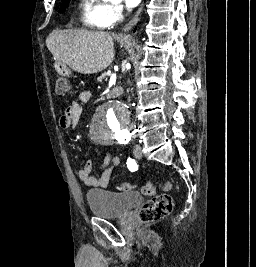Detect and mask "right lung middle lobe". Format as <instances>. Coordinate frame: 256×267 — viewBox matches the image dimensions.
Wrapping results in <instances>:
<instances>
[{"instance_id": "obj_1", "label": "right lung middle lobe", "mask_w": 256, "mask_h": 267, "mask_svg": "<svg viewBox=\"0 0 256 267\" xmlns=\"http://www.w3.org/2000/svg\"><path fill=\"white\" fill-rule=\"evenodd\" d=\"M69 1H70V0H66L65 2H63L62 6H61V8H60V10H59L60 13H62V12L65 11L66 6H68V4H69Z\"/></svg>"}]
</instances>
